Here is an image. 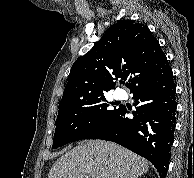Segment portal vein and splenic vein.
<instances>
[{
    "label": "portal vein and splenic vein",
    "mask_w": 194,
    "mask_h": 178,
    "mask_svg": "<svg viewBox=\"0 0 194 178\" xmlns=\"http://www.w3.org/2000/svg\"><path fill=\"white\" fill-rule=\"evenodd\" d=\"M74 178H89V177L87 175H78V176H76Z\"/></svg>",
    "instance_id": "1"
}]
</instances>
